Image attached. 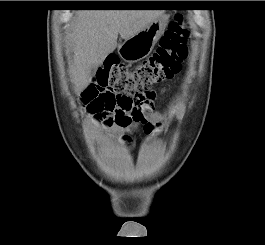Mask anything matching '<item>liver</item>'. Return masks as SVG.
Segmentation results:
<instances>
[{"label": "liver", "instance_id": "obj_1", "mask_svg": "<svg viewBox=\"0 0 265 245\" xmlns=\"http://www.w3.org/2000/svg\"><path fill=\"white\" fill-rule=\"evenodd\" d=\"M163 14L162 10H82L72 25L73 62L69 75L75 92L91 82L90 67H98L117 47Z\"/></svg>", "mask_w": 265, "mask_h": 245}]
</instances>
